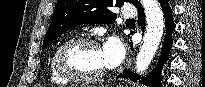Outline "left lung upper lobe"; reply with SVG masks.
<instances>
[{"instance_id": "1", "label": "left lung upper lobe", "mask_w": 205, "mask_h": 87, "mask_svg": "<svg viewBox=\"0 0 205 87\" xmlns=\"http://www.w3.org/2000/svg\"><path fill=\"white\" fill-rule=\"evenodd\" d=\"M131 2L135 6L138 4L136 0ZM123 3L124 0H58L42 48L79 24L112 23L116 15L108 8L114 4L119 7Z\"/></svg>"}]
</instances>
